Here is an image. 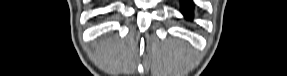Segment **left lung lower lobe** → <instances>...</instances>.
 <instances>
[{"label": "left lung lower lobe", "mask_w": 287, "mask_h": 76, "mask_svg": "<svg viewBox=\"0 0 287 76\" xmlns=\"http://www.w3.org/2000/svg\"><path fill=\"white\" fill-rule=\"evenodd\" d=\"M182 12L187 18L192 17V11H193V3L190 0H183L182 1Z\"/></svg>", "instance_id": "obj_1"}]
</instances>
